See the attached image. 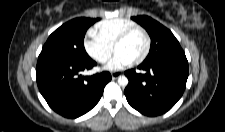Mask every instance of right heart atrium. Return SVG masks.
I'll return each instance as SVG.
<instances>
[{
  "label": "right heart atrium",
  "instance_id": "right-heart-atrium-1",
  "mask_svg": "<svg viewBox=\"0 0 225 132\" xmlns=\"http://www.w3.org/2000/svg\"><path fill=\"white\" fill-rule=\"evenodd\" d=\"M86 53L98 63H106L113 53V47L105 44L94 35H89L84 40Z\"/></svg>",
  "mask_w": 225,
  "mask_h": 132
}]
</instances>
